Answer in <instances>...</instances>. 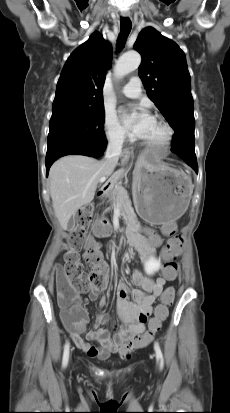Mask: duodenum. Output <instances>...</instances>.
<instances>
[{
    "label": "duodenum",
    "mask_w": 230,
    "mask_h": 413,
    "mask_svg": "<svg viewBox=\"0 0 230 413\" xmlns=\"http://www.w3.org/2000/svg\"><path fill=\"white\" fill-rule=\"evenodd\" d=\"M108 188L107 187H103L99 192L98 195L99 196H103L106 192H107ZM134 235V232L132 230H129L128 232V241L129 243L132 245L133 241H132V237Z\"/></svg>",
    "instance_id": "duodenum-1"
}]
</instances>
